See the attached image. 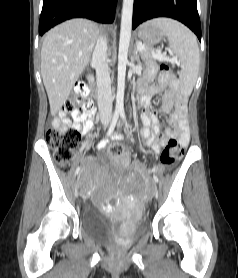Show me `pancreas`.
<instances>
[{"instance_id": "cf45deb5", "label": "pancreas", "mask_w": 238, "mask_h": 278, "mask_svg": "<svg viewBox=\"0 0 238 278\" xmlns=\"http://www.w3.org/2000/svg\"><path fill=\"white\" fill-rule=\"evenodd\" d=\"M143 46L145 47V50H142L140 52L142 58L146 59V60L147 59H155L153 56V53H157L158 51L149 45L144 44Z\"/></svg>"}]
</instances>
